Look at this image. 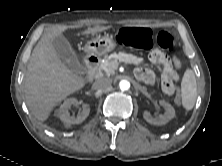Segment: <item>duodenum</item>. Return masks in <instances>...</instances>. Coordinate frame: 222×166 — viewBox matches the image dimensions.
Returning <instances> with one entry per match:
<instances>
[{
    "label": "duodenum",
    "mask_w": 222,
    "mask_h": 166,
    "mask_svg": "<svg viewBox=\"0 0 222 166\" xmlns=\"http://www.w3.org/2000/svg\"><path fill=\"white\" fill-rule=\"evenodd\" d=\"M84 61L88 68V80L92 82L97 75L100 59L94 54H87Z\"/></svg>",
    "instance_id": "duodenum-1"
}]
</instances>
